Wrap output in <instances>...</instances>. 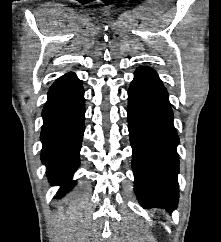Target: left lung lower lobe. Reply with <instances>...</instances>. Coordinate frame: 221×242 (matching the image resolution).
<instances>
[{
	"instance_id": "1",
	"label": "left lung lower lobe",
	"mask_w": 221,
	"mask_h": 242,
	"mask_svg": "<svg viewBox=\"0 0 221 242\" xmlns=\"http://www.w3.org/2000/svg\"><path fill=\"white\" fill-rule=\"evenodd\" d=\"M127 112L137 198L144 208L174 210L179 198V137L168 93L153 69L136 70L128 91Z\"/></svg>"
}]
</instances>
